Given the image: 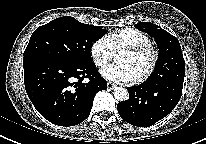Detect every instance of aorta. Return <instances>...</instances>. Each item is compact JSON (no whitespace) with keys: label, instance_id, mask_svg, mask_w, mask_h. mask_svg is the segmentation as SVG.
<instances>
[{"label":"aorta","instance_id":"aorta-1","mask_svg":"<svg viewBox=\"0 0 206 144\" xmlns=\"http://www.w3.org/2000/svg\"><path fill=\"white\" fill-rule=\"evenodd\" d=\"M114 97L118 101H125L129 98V93H128L127 89H125L123 87H116L114 89Z\"/></svg>","mask_w":206,"mask_h":144}]
</instances>
